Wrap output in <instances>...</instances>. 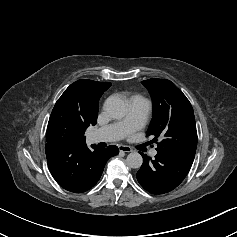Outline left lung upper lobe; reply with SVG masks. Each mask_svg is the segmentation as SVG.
I'll return each mask as SVG.
<instances>
[{
    "mask_svg": "<svg viewBox=\"0 0 237 237\" xmlns=\"http://www.w3.org/2000/svg\"><path fill=\"white\" fill-rule=\"evenodd\" d=\"M141 83L153 102V118L147 135L154 137L152 142L161 140L157 152L194 160L197 131L189 100L167 79H148Z\"/></svg>",
    "mask_w": 237,
    "mask_h": 237,
    "instance_id": "left-lung-upper-lobe-1",
    "label": "left lung upper lobe"
}]
</instances>
